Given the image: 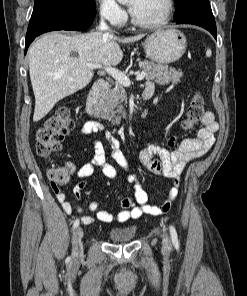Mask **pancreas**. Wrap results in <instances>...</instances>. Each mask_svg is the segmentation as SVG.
Listing matches in <instances>:
<instances>
[{
	"instance_id": "1",
	"label": "pancreas",
	"mask_w": 247,
	"mask_h": 296,
	"mask_svg": "<svg viewBox=\"0 0 247 296\" xmlns=\"http://www.w3.org/2000/svg\"><path fill=\"white\" fill-rule=\"evenodd\" d=\"M138 62L143 72L146 73V78L154 79L157 83L168 84L171 82L177 84L183 76L182 71L176 70L174 67L156 64L148 60H138ZM126 98L125 88L121 84L116 83L115 87L100 100L102 118L107 119L112 124H120L121 116L125 117L126 115L122 105Z\"/></svg>"
}]
</instances>
